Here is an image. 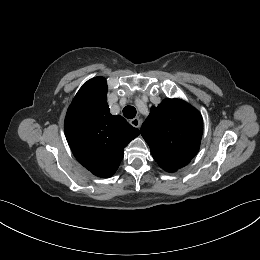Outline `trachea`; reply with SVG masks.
I'll use <instances>...</instances> for the list:
<instances>
[{"instance_id":"obj_1","label":"trachea","mask_w":260,"mask_h":260,"mask_svg":"<svg viewBox=\"0 0 260 260\" xmlns=\"http://www.w3.org/2000/svg\"><path fill=\"white\" fill-rule=\"evenodd\" d=\"M136 108L133 107V106H126L124 109H123V115L128 118V119H132L136 116Z\"/></svg>"}]
</instances>
